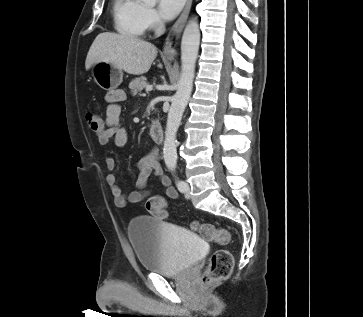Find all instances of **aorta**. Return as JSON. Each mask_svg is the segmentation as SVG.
Instances as JSON below:
<instances>
[{"label":"aorta","instance_id":"1","mask_svg":"<svg viewBox=\"0 0 363 317\" xmlns=\"http://www.w3.org/2000/svg\"><path fill=\"white\" fill-rule=\"evenodd\" d=\"M142 1L147 4L156 2V0ZM199 44L200 29L197 20L193 18L188 21L182 35L181 74L177 84V91L172 98L165 130L163 157L166 166L171 170L176 167L177 163L176 135L191 96Z\"/></svg>","mask_w":363,"mask_h":317}]
</instances>
